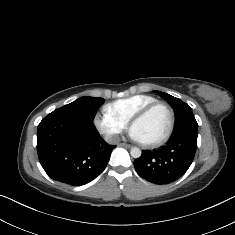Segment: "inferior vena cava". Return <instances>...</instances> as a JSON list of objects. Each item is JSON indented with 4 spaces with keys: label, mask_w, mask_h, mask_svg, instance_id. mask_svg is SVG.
Segmentation results:
<instances>
[{
    "label": "inferior vena cava",
    "mask_w": 235,
    "mask_h": 235,
    "mask_svg": "<svg viewBox=\"0 0 235 235\" xmlns=\"http://www.w3.org/2000/svg\"><path fill=\"white\" fill-rule=\"evenodd\" d=\"M120 138L118 135H111V136H106V142L109 144H117L119 143Z\"/></svg>",
    "instance_id": "1"
}]
</instances>
